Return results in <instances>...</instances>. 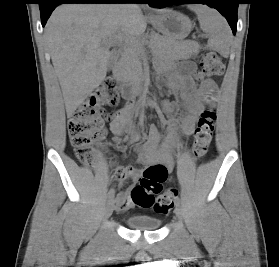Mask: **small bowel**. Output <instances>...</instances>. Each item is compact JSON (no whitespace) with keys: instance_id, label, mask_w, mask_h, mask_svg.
<instances>
[{"instance_id":"1","label":"small bowel","mask_w":279,"mask_h":267,"mask_svg":"<svg viewBox=\"0 0 279 267\" xmlns=\"http://www.w3.org/2000/svg\"><path fill=\"white\" fill-rule=\"evenodd\" d=\"M160 71H172L174 66L171 64L160 65ZM196 70L195 64L185 61L179 69L172 71L170 75V86L175 92H179L183 99V115L180 119L173 117V108L168 103L165 104L166 113L169 115L167 120L168 136L164 140L155 125H151L146 135L137 129H131L127 140L139 141L145 137L143 144L138 146V161L149 166L162 167L165 170L166 178L173 169L171 149L178 144V134L186 136L192 134L198 115L204 106L205 96L216 88L211 80H203L198 85L193 80ZM132 108L126 107L120 114L110 122L112 133L120 138L124 128H131ZM139 170L133 165L120 167L116 170L114 177L118 180L136 181L139 177ZM117 209L121 212L127 211L133 206V201L129 191L119 192L115 198Z\"/></svg>"}]
</instances>
